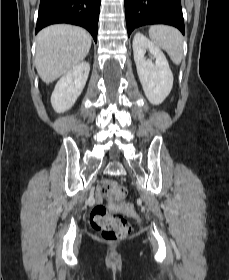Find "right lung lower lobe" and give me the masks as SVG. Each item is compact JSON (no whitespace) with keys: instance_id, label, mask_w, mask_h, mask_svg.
I'll return each instance as SVG.
<instances>
[{"instance_id":"98d812e1","label":"right lung lower lobe","mask_w":229,"mask_h":280,"mask_svg":"<svg viewBox=\"0 0 229 280\" xmlns=\"http://www.w3.org/2000/svg\"><path fill=\"white\" fill-rule=\"evenodd\" d=\"M100 0H41L36 33L55 23H69L87 29L97 41Z\"/></svg>"}]
</instances>
